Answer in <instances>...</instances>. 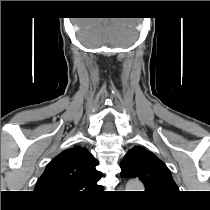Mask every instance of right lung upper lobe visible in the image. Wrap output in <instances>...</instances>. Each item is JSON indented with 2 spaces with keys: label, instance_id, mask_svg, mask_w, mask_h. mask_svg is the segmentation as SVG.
Returning a JSON list of instances; mask_svg holds the SVG:
<instances>
[{
  "label": "right lung upper lobe",
  "instance_id": "right-lung-upper-lobe-1",
  "mask_svg": "<svg viewBox=\"0 0 210 210\" xmlns=\"http://www.w3.org/2000/svg\"><path fill=\"white\" fill-rule=\"evenodd\" d=\"M98 161L83 147H73L57 155L37 181L34 191L56 203L78 199L100 189Z\"/></svg>",
  "mask_w": 210,
  "mask_h": 210
}]
</instances>
